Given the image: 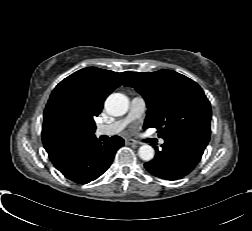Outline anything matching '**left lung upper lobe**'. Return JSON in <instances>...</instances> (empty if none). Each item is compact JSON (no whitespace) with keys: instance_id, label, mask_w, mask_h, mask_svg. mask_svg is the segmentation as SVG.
Returning <instances> with one entry per match:
<instances>
[{"instance_id":"obj_1","label":"left lung upper lobe","mask_w":252,"mask_h":231,"mask_svg":"<svg viewBox=\"0 0 252 231\" xmlns=\"http://www.w3.org/2000/svg\"><path fill=\"white\" fill-rule=\"evenodd\" d=\"M125 86L135 88L146 101L144 129L157 128L163 139L184 132L210 136V102L190 78L171 70L135 72Z\"/></svg>"}]
</instances>
